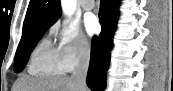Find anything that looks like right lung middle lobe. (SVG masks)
I'll return each instance as SVG.
<instances>
[{"instance_id": "1", "label": "right lung middle lobe", "mask_w": 173, "mask_h": 91, "mask_svg": "<svg viewBox=\"0 0 173 91\" xmlns=\"http://www.w3.org/2000/svg\"><path fill=\"white\" fill-rule=\"evenodd\" d=\"M49 27L50 25L43 24L22 33V38L20 40L15 56L14 72L19 73L20 71H22L29 58L30 53Z\"/></svg>"}]
</instances>
